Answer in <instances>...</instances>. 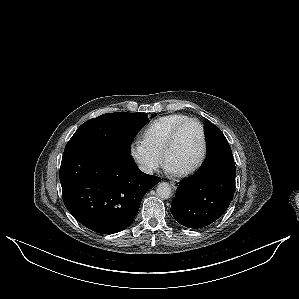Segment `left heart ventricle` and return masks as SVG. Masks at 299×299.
<instances>
[{"label":"left heart ventricle","instance_id":"obj_1","mask_svg":"<svg viewBox=\"0 0 299 299\" xmlns=\"http://www.w3.org/2000/svg\"><path fill=\"white\" fill-rule=\"evenodd\" d=\"M200 149V132L196 125L185 127L178 134L168 155L169 166L184 170L195 163Z\"/></svg>","mask_w":299,"mask_h":299}]
</instances>
